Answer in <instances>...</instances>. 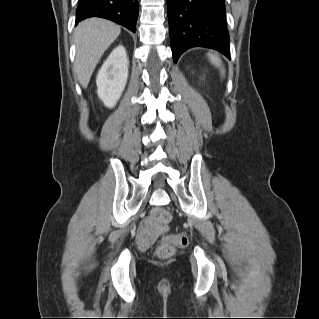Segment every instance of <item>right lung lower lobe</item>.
I'll return each mask as SVG.
<instances>
[{"label": "right lung lower lobe", "instance_id": "obj_1", "mask_svg": "<svg viewBox=\"0 0 319 319\" xmlns=\"http://www.w3.org/2000/svg\"><path fill=\"white\" fill-rule=\"evenodd\" d=\"M138 11L137 0H78L75 24L89 17H101L136 32Z\"/></svg>", "mask_w": 319, "mask_h": 319}]
</instances>
